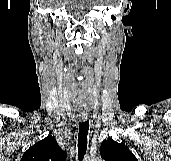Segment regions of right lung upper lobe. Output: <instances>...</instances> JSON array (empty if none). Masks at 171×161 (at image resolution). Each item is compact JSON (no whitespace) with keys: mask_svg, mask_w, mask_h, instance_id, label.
Here are the masks:
<instances>
[{"mask_svg":"<svg viewBox=\"0 0 171 161\" xmlns=\"http://www.w3.org/2000/svg\"><path fill=\"white\" fill-rule=\"evenodd\" d=\"M66 154L55 137L49 135L35 143L22 156L21 161H65Z\"/></svg>","mask_w":171,"mask_h":161,"instance_id":"obj_1","label":"right lung upper lobe"}]
</instances>
